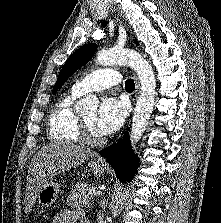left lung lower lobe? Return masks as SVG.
Segmentation results:
<instances>
[{
	"instance_id": "left-lung-lower-lobe-1",
	"label": "left lung lower lobe",
	"mask_w": 221,
	"mask_h": 223,
	"mask_svg": "<svg viewBox=\"0 0 221 223\" xmlns=\"http://www.w3.org/2000/svg\"><path fill=\"white\" fill-rule=\"evenodd\" d=\"M99 154L107 158L121 182H130L137 171L138 160L134 156L127 134L117 143L101 150Z\"/></svg>"
}]
</instances>
